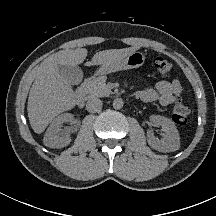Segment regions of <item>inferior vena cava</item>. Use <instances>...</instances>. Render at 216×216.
<instances>
[{
  "label": "inferior vena cava",
  "mask_w": 216,
  "mask_h": 216,
  "mask_svg": "<svg viewBox=\"0 0 216 216\" xmlns=\"http://www.w3.org/2000/svg\"><path fill=\"white\" fill-rule=\"evenodd\" d=\"M88 112L96 113L102 109V101L98 98H90L86 103Z\"/></svg>",
  "instance_id": "1"
}]
</instances>
